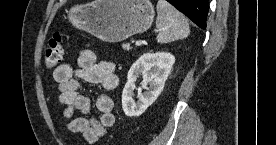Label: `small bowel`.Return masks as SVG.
Returning <instances> with one entry per match:
<instances>
[{
  "label": "small bowel",
  "instance_id": "c3829d8e",
  "mask_svg": "<svg viewBox=\"0 0 276 145\" xmlns=\"http://www.w3.org/2000/svg\"><path fill=\"white\" fill-rule=\"evenodd\" d=\"M115 65L111 61H97L91 50H82L78 57V66L61 64L53 71V79L59 88V103L63 106V118L69 131L80 133L89 144H94L113 126L114 102L107 94H101L96 99L98 118L89 117L90 99L78 92L79 79L88 83L100 84L104 90L112 91L118 85L114 73ZM75 111L82 116L74 117Z\"/></svg>",
  "mask_w": 276,
  "mask_h": 145
}]
</instances>
